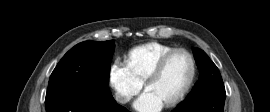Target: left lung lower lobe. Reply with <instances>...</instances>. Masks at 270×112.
<instances>
[{
    "instance_id": "1",
    "label": "left lung lower lobe",
    "mask_w": 270,
    "mask_h": 112,
    "mask_svg": "<svg viewBox=\"0 0 270 112\" xmlns=\"http://www.w3.org/2000/svg\"><path fill=\"white\" fill-rule=\"evenodd\" d=\"M225 97L224 86H215L195 100L184 101L172 112H224Z\"/></svg>"
}]
</instances>
